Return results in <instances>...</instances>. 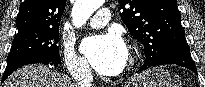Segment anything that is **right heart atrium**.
Returning <instances> with one entry per match:
<instances>
[{
  "mask_svg": "<svg viewBox=\"0 0 205 87\" xmlns=\"http://www.w3.org/2000/svg\"><path fill=\"white\" fill-rule=\"evenodd\" d=\"M63 55L66 68L71 76L81 77L91 73L89 64L83 57L77 54L72 42L64 41Z\"/></svg>",
  "mask_w": 205,
  "mask_h": 87,
  "instance_id": "1",
  "label": "right heart atrium"
}]
</instances>
